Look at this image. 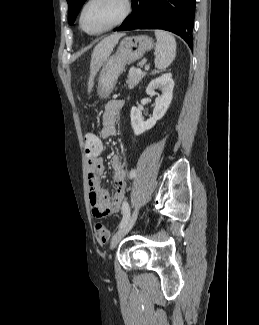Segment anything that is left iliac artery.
Listing matches in <instances>:
<instances>
[{"label": "left iliac artery", "instance_id": "1", "mask_svg": "<svg viewBox=\"0 0 259 325\" xmlns=\"http://www.w3.org/2000/svg\"><path fill=\"white\" fill-rule=\"evenodd\" d=\"M135 176H136V170L132 169L129 173V178L132 179ZM122 210H123V218L119 224V227H122L130 218V207L127 202L123 203Z\"/></svg>", "mask_w": 259, "mask_h": 325}]
</instances>
